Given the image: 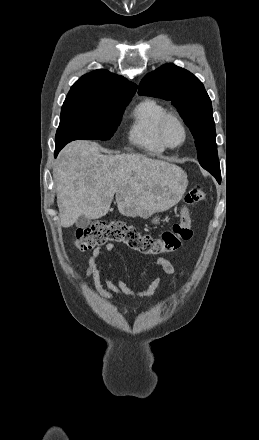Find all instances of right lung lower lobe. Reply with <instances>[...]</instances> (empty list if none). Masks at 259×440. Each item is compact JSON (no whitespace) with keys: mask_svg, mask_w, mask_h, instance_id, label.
<instances>
[{"mask_svg":"<svg viewBox=\"0 0 259 440\" xmlns=\"http://www.w3.org/2000/svg\"><path fill=\"white\" fill-rule=\"evenodd\" d=\"M63 148V145H58L56 144V149H55V157L57 156L58 152Z\"/></svg>","mask_w":259,"mask_h":440,"instance_id":"obj_1","label":"right lung lower lobe"}]
</instances>
